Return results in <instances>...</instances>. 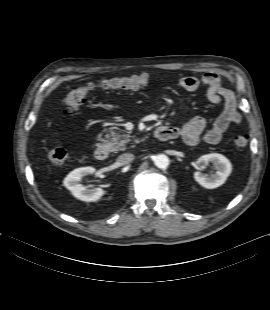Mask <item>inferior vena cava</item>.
I'll return each mask as SVG.
<instances>
[{
	"mask_svg": "<svg viewBox=\"0 0 270 310\" xmlns=\"http://www.w3.org/2000/svg\"><path fill=\"white\" fill-rule=\"evenodd\" d=\"M134 160V155L131 154V153H124L122 155H120L118 157V162L121 164V165H126V164H129L130 162H132Z\"/></svg>",
	"mask_w": 270,
	"mask_h": 310,
	"instance_id": "obj_1",
	"label": "inferior vena cava"
}]
</instances>
